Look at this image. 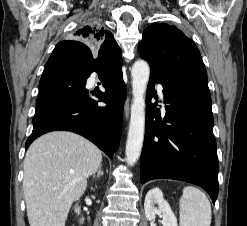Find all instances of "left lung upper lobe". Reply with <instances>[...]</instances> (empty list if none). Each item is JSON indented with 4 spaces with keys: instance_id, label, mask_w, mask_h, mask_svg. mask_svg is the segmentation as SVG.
Segmentation results:
<instances>
[{
    "instance_id": "1",
    "label": "left lung upper lobe",
    "mask_w": 247,
    "mask_h": 226,
    "mask_svg": "<svg viewBox=\"0 0 247 226\" xmlns=\"http://www.w3.org/2000/svg\"><path fill=\"white\" fill-rule=\"evenodd\" d=\"M138 50L151 71L166 77L187 71L207 74L198 48L175 26L152 24L144 30Z\"/></svg>"
}]
</instances>
